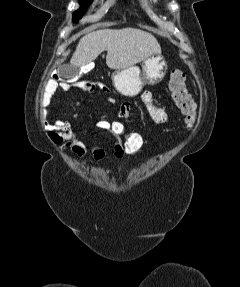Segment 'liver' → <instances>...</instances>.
<instances>
[{
  "mask_svg": "<svg viewBox=\"0 0 240 287\" xmlns=\"http://www.w3.org/2000/svg\"><path fill=\"white\" fill-rule=\"evenodd\" d=\"M107 51L106 64L110 69H125L161 53L157 39L136 28L103 29L83 36L70 60V67L91 64L103 51Z\"/></svg>",
  "mask_w": 240,
  "mask_h": 287,
  "instance_id": "obj_1",
  "label": "liver"
}]
</instances>
